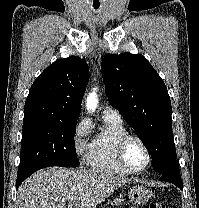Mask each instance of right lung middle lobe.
Masks as SVG:
<instances>
[{"label": "right lung middle lobe", "instance_id": "obj_1", "mask_svg": "<svg viewBox=\"0 0 199 208\" xmlns=\"http://www.w3.org/2000/svg\"><path fill=\"white\" fill-rule=\"evenodd\" d=\"M76 122L77 119L24 116L17 176L28 177L36 170L49 166L77 167Z\"/></svg>", "mask_w": 199, "mask_h": 208}]
</instances>
